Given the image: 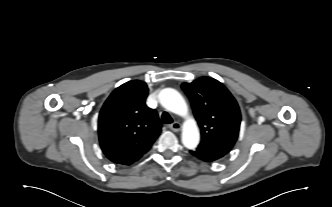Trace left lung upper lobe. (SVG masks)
I'll use <instances>...</instances> for the list:
<instances>
[{"label":"left lung upper lobe","mask_w":332,"mask_h":207,"mask_svg":"<svg viewBox=\"0 0 332 207\" xmlns=\"http://www.w3.org/2000/svg\"><path fill=\"white\" fill-rule=\"evenodd\" d=\"M194 116L201 130L198 148L227 154L234 146L241 122L239 106L219 81L201 77L192 83H183Z\"/></svg>","instance_id":"5c2ea615"}]
</instances>
